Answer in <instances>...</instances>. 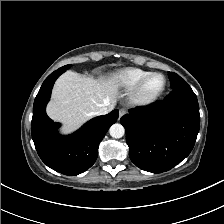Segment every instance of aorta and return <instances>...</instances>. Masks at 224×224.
<instances>
[{
    "label": "aorta",
    "instance_id": "1",
    "mask_svg": "<svg viewBox=\"0 0 224 224\" xmlns=\"http://www.w3.org/2000/svg\"><path fill=\"white\" fill-rule=\"evenodd\" d=\"M109 133L113 138H121L125 133V129L121 124L115 123L110 127Z\"/></svg>",
    "mask_w": 224,
    "mask_h": 224
}]
</instances>
